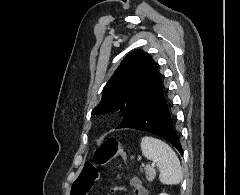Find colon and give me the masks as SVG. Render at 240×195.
<instances>
[{"label":"colon","mask_w":240,"mask_h":195,"mask_svg":"<svg viewBox=\"0 0 240 195\" xmlns=\"http://www.w3.org/2000/svg\"><path fill=\"white\" fill-rule=\"evenodd\" d=\"M119 155L122 160L127 158L126 152L121 150L120 143L113 137L107 138L104 143L97 147L95 151V161L98 164H105L112 160L115 156ZM86 176L92 180L97 177V173L90 166L86 168ZM72 195H86L89 190L88 186H75Z\"/></svg>","instance_id":"colon-1"}]
</instances>
